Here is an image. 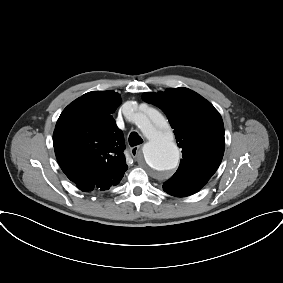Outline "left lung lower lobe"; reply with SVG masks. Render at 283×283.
<instances>
[{
  "instance_id": "obj_1",
  "label": "left lung lower lobe",
  "mask_w": 283,
  "mask_h": 283,
  "mask_svg": "<svg viewBox=\"0 0 283 283\" xmlns=\"http://www.w3.org/2000/svg\"><path fill=\"white\" fill-rule=\"evenodd\" d=\"M164 191L172 196L177 197H185L192 195L200 190V188L197 187H191V186H182L178 185L176 187H163Z\"/></svg>"
}]
</instances>
